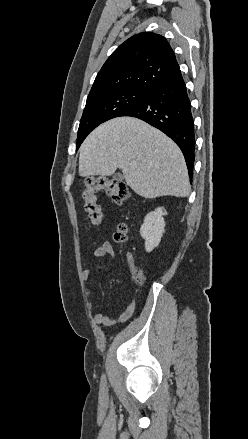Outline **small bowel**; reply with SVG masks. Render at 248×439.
I'll return each instance as SVG.
<instances>
[{"mask_svg":"<svg viewBox=\"0 0 248 439\" xmlns=\"http://www.w3.org/2000/svg\"><path fill=\"white\" fill-rule=\"evenodd\" d=\"M106 255L110 256L112 259L116 258V252L114 250V247L111 244V242H109V241H104L100 246H98L93 251V257L95 259H102ZM127 260H128L130 272L132 275H134V267H133L132 257L129 255L127 257ZM81 275H82V279L84 281H87L91 277V271L89 269H85L82 271ZM97 294H98L97 290L94 289L93 287L86 288V296H87L89 306L91 309L94 307ZM137 297H138V289L134 288L133 289V296H132L130 302L128 303L125 311L123 312V314L120 317L121 322L127 321L135 312V309L137 306ZM93 319H94V322L96 324L105 325V326L112 325L116 322V319L112 315H107V314H104L102 312L95 313Z\"/></svg>","mask_w":248,"mask_h":439,"instance_id":"small-bowel-1","label":"small bowel"}]
</instances>
